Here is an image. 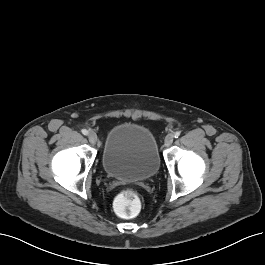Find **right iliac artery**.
Here are the masks:
<instances>
[{
  "instance_id": "1",
  "label": "right iliac artery",
  "mask_w": 265,
  "mask_h": 265,
  "mask_svg": "<svg viewBox=\"0 0 265 265\" xmlns=\"http://www.w3.org/2000/svg\"><path fill=\"white\" fill-rule=\"evenodd\" d=\"M82 133H83L84 135H88V131H87L86 129H83V130H82Z\"/></svg>"
}]
</instances>
